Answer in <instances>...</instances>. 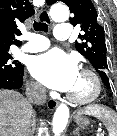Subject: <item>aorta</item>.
Returning a JSON list of instances; mask_svg holds the SVG:
<instances>
[{"label":"aorta","instance_id":"1","mask_svg":"<svg viewBox=\"0 0 117 136\" xmlns=\"http://www.w3.org/2000/svg\"><path fill=\"white\" fill-rule=\"evenodd\" d=\"M51 18L56 22H64L69 19V10L65 5L55 4L50 9ZM69 118V108L66 104H60L53 116V134L60 136L64 131Z\"/></svg>","mask_w":117,"mask_h":136}]
</instances>
